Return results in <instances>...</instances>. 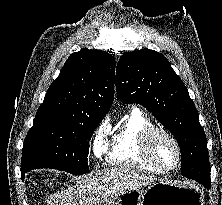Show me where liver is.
Returning a JSON list of instances; mask_svg holds the SVG:
<instances>
[{"instance_id":"6515ba94","label":"liver","mask_w":222,"mask_h":205,"mask_svg":"<svg viewBox=\"0 0 222 205\" xmlns=\"http://www.w3.org/2000/svg\"><path fill=\"white\" fill-rule=\"evenodd\" d=\"M154 181L124 167L109 168L81 177L76 185L51 195L49 205H94Z\"/></svg>"}]
</instances>
